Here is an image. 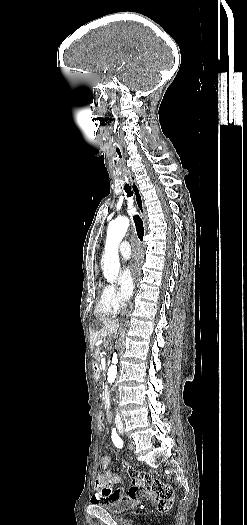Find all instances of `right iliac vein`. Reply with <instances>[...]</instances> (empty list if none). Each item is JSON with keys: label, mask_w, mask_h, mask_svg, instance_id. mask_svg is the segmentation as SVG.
Here are the masks:
<instances>
[{"label": "right iliac vein", "mask_w": 247, "mask_h": 525, "mask_svg": "<svg viewBox=\"0 0 247 525\" xmlns=\"http://www.w3.org/2000/svg\"><path fill=\"white\" fill-rule=\"evenodd\" d=\"M118 429H119V431H120L121 433H123L124 429H123L122 426H119Z\"/></svg>", "instance_id": "63e3f726"}]
</instances>
